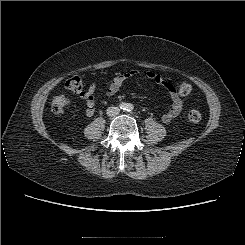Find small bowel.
Instances as JSON below:
<instances>
[{"label": "small bowel", "mask_w": 245, "mask_h": 245, "mask_svg": "<svg viewBox=\"0 0 245 245\" xmlns=\"http://www.w3.org/2000/svg\"><path fill=\"white\" fill-rule=\"evenodd\" d=\"M137 74V70H130L126 73L119 74L113 77L107 87L106 95L109 97L115 95L126 80L135 77ZM146 76L148 79L153 80L159 85H161L168 92L171 99V105L170 108L162 115L161 119L164 123H170L182 112L184 107L183 98L177 92L175 86L169 81L163 79L160 75L154 72H148ZM95 92L96 85L92 83L89 85L86 91L80 94V97L85 101V112L88 117H92L95 114Z\"/></svg>", "instance_id": "small-bowel-1"}]
</instances>
